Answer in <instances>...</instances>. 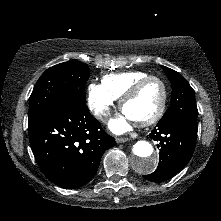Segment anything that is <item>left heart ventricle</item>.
<instances>
[{
  "instance_id": "1",
  "label": "left heart ventricle",
  "mask_w": 221,
  "mask_h": 221,
  "mask_svg": "<svg viewBox=\"0 0 221 221\" xmlns=\"http://www.w3.org/2000/svg\"><path fill=\"white\" fill-rule=\"evenodd\" d=\"M162 89L157 81L148 82L140 92L124 106L123 113L132 121L151 117L159 108Z\"/></svg>"
}]
</instances>
